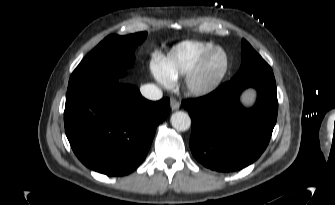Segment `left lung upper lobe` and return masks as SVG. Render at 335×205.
Listing matches in <instances>:
<instances>
[{
	"instance_id": "1",
	"label": "left lung upper lobe",
	"mask_w": 335,
	"mask_h": 205,
	"mask_svg": "<svg viewBox=\"0 0 335 205\" xmlns=\"http://www.w3.org/2000/svg\"><path fill=\"white\" fill-rule=\"evenodd\" d=\"M247 78L275 81L271 67L245 39H242V63L238 73L232 79L242 80Z\"/></svg>"
}]
</instances>
